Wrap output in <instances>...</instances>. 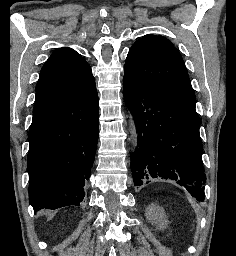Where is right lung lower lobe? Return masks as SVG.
Instances as JSON below:
<instances>
[{
	"mask_svg": "<svg viewBox=\"0 0 236 256\" xmlns=\"http://www.w3.org/2000/svg\"><path fill=\"white\" fill-rule=\"evenodd\" d=\"M95 82L33 118L27 168L34 212L79 206L98 141Z\"/></svg>",
	"mask_w": 236,
	"mask_h": 256,
	"instance_id": "98d812e1",
	"label": "right lung lower lobe"
}]
</instances>
